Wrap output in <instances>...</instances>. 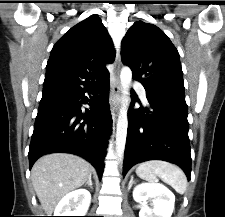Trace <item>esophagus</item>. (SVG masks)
<instances>
[{"label": "esophagus", "mask_w": 225, "mask_h": 217, "mask_svg": "<svg viewBox=\"0 0 225 217\" xmlns=\"http://www.w3.org/2000/svg\"><path fill=\"white\" fill-rule=\"evenodd\" d=\"M120 55L118 54L114 63V72L111 80V92H110V110L113 119H116L118 110L120 108V78H119V69H120Z\"/></svg>", "instance_id": "esophagus-1"}]
</instances>
